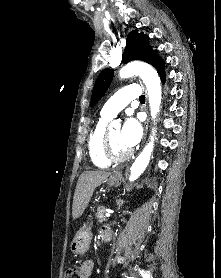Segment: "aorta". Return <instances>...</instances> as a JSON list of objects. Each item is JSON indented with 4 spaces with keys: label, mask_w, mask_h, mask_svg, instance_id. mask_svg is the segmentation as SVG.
I'll return each instance as SVG.
<instances>
[{
    "label": "aorta",
    "mask_w": 221,
    "mask_h": 278,
    "mask_svg": "<svg viewBox=\"0 0 221 278\" xmlns=\"http://www.w3.org/2000/svg\"><path fill=\"white\" fill-rule=\"evenodd\" d=\"M134 75H139L147 88L151 117L152 119H155L161 104V85L159 75L151 65L139 61L128 63L119 72L121 78H129ZM152 132L153 135L150 136L149 143L146 144L143 151L136 158L130 168L129 181L131 182L135 181L149 164L154 147L155 129H153Z\"/></svg>",
    "instance_id": "obj_1"
}]
</instances>
